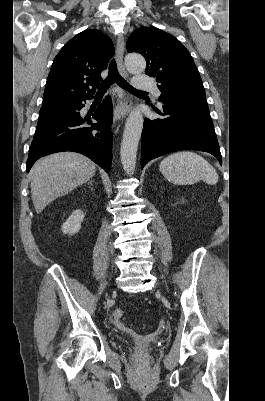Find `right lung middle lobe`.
<instances>
[{
	"instance_id": "1",
	"label": "right lung middle lobe",
	"mask_w": 265,
	"mask_h": 401,
	"mask_svg": "<svg viewBox=\"0 0 265 401\" xmlns=\"http://www.w3.org/2000/svg\"><path fill=\"white\" fill-rule=\"evenodd\" d=\"M79 104H80V101H66V102L42 105L39 115H42L47 112H53V111H72Z\"/></svg>"
}]
</instances>
